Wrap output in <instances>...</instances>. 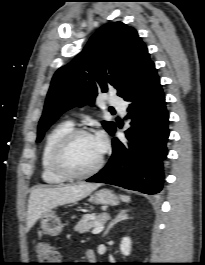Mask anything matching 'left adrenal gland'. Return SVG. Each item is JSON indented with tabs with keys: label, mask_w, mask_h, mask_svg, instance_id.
<instances>
[{
	"label": "left adrenal gland",
	"mask_w": 205,
	"mask_h": 265,
	"mask_svg": "<svg viewBox=\"0 0 205 265\" xmlns=\"http://www.w3.org/2000/svg\"><path fill=\"white\" fill-rule=\"evenodd\" d=\"M127 212H128V210H120V211L118 212V214H117V215L115 216V218L110 222V224L108 225V227H107L106 230L104 231V233H103V237H105V236L108 234L109 230H110L111 228H113V226H114L115 224H117L118 222H120V221H122V220H126V219H128Z\"/></svg>",
	"instance_id": "a2214340"
}]
</instances>
